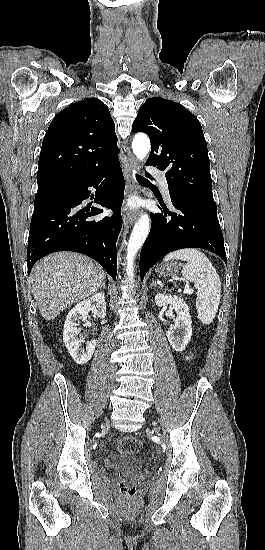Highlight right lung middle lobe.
<instances>
[{"instance_id":"dd1d6c3e","label":"right lung middle lobe","mask_w":265,"mask_h":550,"mask_svg":"<svg viewBox=\"0 0 265 550\" xmlns=\"http://www.w3.org/2000/svg\"><path fill=\"white\" fill-rule=\"evenodd\" d=\"M63 188L61 185H44L38 187L37 194L35 196V202L44 199L45 197L49 196L50 194L60 190Z\"/></svg>"}]
</instances>
